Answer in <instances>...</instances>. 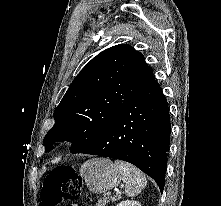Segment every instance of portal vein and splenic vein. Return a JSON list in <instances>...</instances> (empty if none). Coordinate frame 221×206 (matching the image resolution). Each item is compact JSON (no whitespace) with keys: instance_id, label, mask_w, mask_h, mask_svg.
<instances>
[{"instance_id":"portal-vein-and-splenic-vein-1","label":"portal vein and splenic vein","mask_w":221,"mask_h":206,"mask_svg":"<svg viewBox=\"0 0 221 206\" xmlns=\"http://www.w3.org/2000/svg\"><path fill=\"white\" fill-rule=\"evenodd\" d=\"M107 195L110 197V196H111V193H110V192H108V193H107Z\"/></svg>"}]
</instances>
